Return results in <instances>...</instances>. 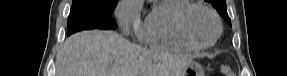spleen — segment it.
<instances>
[{
    "label": "spleen",
    "mask_w": 287,
    "mask_h": 76,
    "mask_svg": "<svg viewBox=\"0 0 287 76\" xmlns=\"http://www.w3.org/2000/svg\"><path fill=\"white\" fill-rule=\"evenodd\" d=\"M221 70L225 73L231 74L230 69L227 67L222 66Z\"/></svg>",
    "instance_id": "3e777b00"
}]
</instances>
